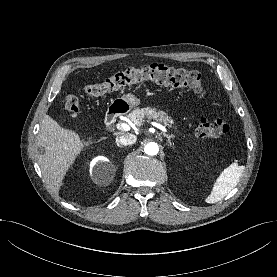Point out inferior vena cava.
Listing matches in <instances>:
<instances>
[{
  "label": "inferior vena cava",
  "instance_id": "obj_1",
  "mask_svg": "<svg viewBox=\"0 0 277 277\" xmlns=\"http://www.w3.org/2000/svg\"><path fill=\"white\" fill-rule=\"evenodd\" d=\"M136 140L137 137L134 134H125L116 138V142L124 146L132 145L136 142Z\"/></svg>",
  "mask_w": 277,
  "mask_h": 277
}]
</instances>
